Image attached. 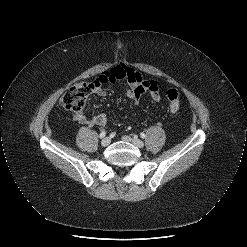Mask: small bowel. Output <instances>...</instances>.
<instances>
[{
    "mask_svg": "<svg viewBox=\"0 0 247 247\" xmlns=\"http://www.w3.org/2000/svg\"><path fill=\"white\" fill-rule=\"evenodd\" d=\"M124 82L126 84L125 93L127 97L137 104L144 93H149L154 101L161 99V93L156 81L145 80L141 74L133 68L119 65L111 70L104 71L95 80V92L100 96H106V84ZM74 119L87 126H105L108 123V116L105 113H98L92 117L84 114H75Z\"/></svg>",
    "mask_w": 247,
    "mask_h": 247,
    "instance_id": "small-bowel-1",
    "label": "small bowel"
}]
</instances>
